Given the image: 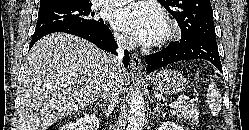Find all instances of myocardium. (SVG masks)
<instances>
[{
	"instance_id": "obj_1",
	"label": "myocardium",
	"mask_w": 249,
	"mask_h": 130,
	"mask_svg": "<svg viewBox=\"0 0 249 130\" xmlns=\"http://www.w3.org/2000/svg\"><path fill=\"white\" fill-rule=\"evenodd\" d=\"M181 35V29L179 24L172 19L165 22L164 32L159 40L160 45H167L173 41H176Z\"/></svg>"
}]
</instances>
